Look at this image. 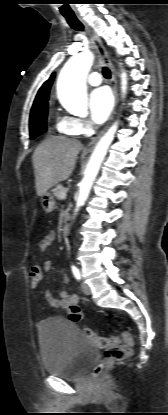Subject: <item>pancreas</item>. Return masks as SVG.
Returning a JSON list of instances; mask_svg holds the SVG:
<instances>
[{"instance_id": "pancreas-1", "label": "pancreas", "mask_w": 168, "mask_h": 415, "mask_svg": "<svg viewBox=\"0 0 168 415\" xmlns=\"http://www.w3.org/2000/svg\"><path fill=\"white\" fill-rule=\"evenodd\" d=\"M67 192V189L63 186V185H61V184H58L55 188H54V190H53V195L57 198V199H61V197H60V195H61V192Z\"/></svg>"}]
</instances>
